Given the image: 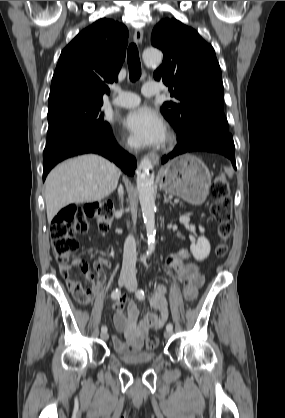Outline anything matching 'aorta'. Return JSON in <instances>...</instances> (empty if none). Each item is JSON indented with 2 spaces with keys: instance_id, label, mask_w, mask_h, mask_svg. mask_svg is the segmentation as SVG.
<instances>
[{
  "instance_id": "obj_1",
  "label": "aorta",
  "mask_w": 285,
  "mask_h": 418,
  "mask_svg": "<svg viewBox=\"0 0 285 418\" xmlns=\"http://www.w3.org/2000/svg\"><path fill=\"white\" fill-rule=\"evenodd\" d=\"M143 60L147 66H154L161 62L162 54L156 49L143 52ZM153 165L148 157H144L137 168V192L140 200L142 215L148 237V255L155 249V185L154 175L151 173Z\"/></svg>"
}]
</instances>
